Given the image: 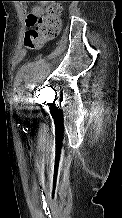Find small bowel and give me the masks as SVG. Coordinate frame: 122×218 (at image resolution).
Returning a JSON list of instances; mask_svg holds the SVG:
<instances>
[{
	"instance_id": "small-bowel-1",
	"label": "small bowel",
	"mask_w": 122,
	"mask_h": 218,
	"mask_svg": "<svg viewBox=\"0 0 122 218\" xmlns=\"http://www.w3.org/2000/svg\"><path fill=\"white\" fill-rule=\"evenodd\" d=\"M45 12L44 4H38L32 8L31 13H34L37 16L43 15Z\"/></svg>"
}]
</instances>
